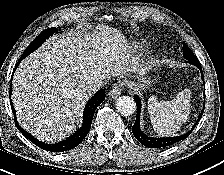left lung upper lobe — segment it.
<instances>
[{
    "label": "left lung upper lobe",
    "mask_w": 224,
    "mask_h": 175,
    "mask_svg": "<svg viewBox=\"0 0 224 175\" xmlns=\"http://www.w3.org/2000/svg\"><path fill=\"white\" fill-rule=\"evenodd\" d=\"M183 56L187 59L188 63H198L197 57L193 54V52L190 50V48L184 44L183 46Z\"/></svg>",
    "instance_id": "1"
}]
</instances>
